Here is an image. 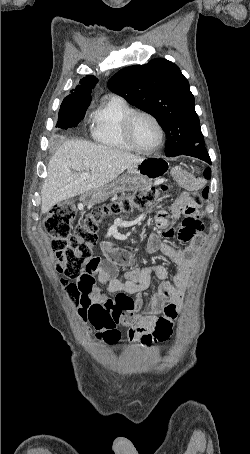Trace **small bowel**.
<instances>
[{"label": "small bowel", "mask_w": 250, "mask_h": 454, "mask_svg": "<svg viewBox=\"0 0 250 454\" xmlns=\"http://www.w3.org/2000/svg\"><path fill=\"white\" fill-rule=\"evenodd\" d=\"M179 182L186 189L169 211H162L156 217L161 235L152 234L146 244L145 253L162 252L177 266V273L168 280V270L161 265L136 268L129 271L126 280L116 277L118 266L128 263L134 256L126 250L113 248L109 242L102 243L105 259L94 257L85 271L79 276L77 285L80 291L79 316L86 321L87 310L92 304L104 305L121 323L129 325L131 341L151 344L167 340L173 333L175 322L181 310L184 291L189 283L195 259L204 241L203 224L199 214L201 197L198 191L204 185V179L183 173ZM184 217L178 233L181 242L187 243L183 249L162 243L160 236L169 238L173 235L171 221ZM155 276L161 284L151 300L150 309H142L140 293L146 290ZM96 280L105 286L109 298L97 286ZM130 295H134L132 299Z\"/></svg>", "instance_id": "c3829d8e"}]
</instances>
